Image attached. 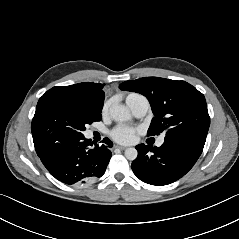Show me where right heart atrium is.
<instances>
[{"label": "right heart atrium", "instance_id": "d8ad5b80", "mask_svg": "<svg viewBox=\"0 0 239 239\" xmlns=\"http://www.w3.org/2000/svg\"><path fill=\"white\" fill-rule=\"evenodd\" d=\"M108 110H109V103L106 102L102 108V113L107 114Z\"/></svg>", "mask_w": 239, "mask_h": 239}]
</instances>
